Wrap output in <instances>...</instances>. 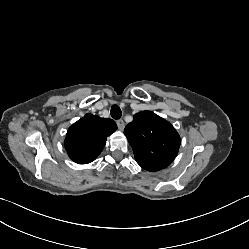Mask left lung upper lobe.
Masks as SVG:
<instances>
[{
    "label": "left lung upper lobe",
    "instance_id": "5c2ea615",
    "mask_svg": "<svg viewBox=\"0 0 249 249\" xmlns=\"http://www.w3.org/2000/svg\"><path fill=\"white\" fill-rule=\"evenodd\" d=\"M124 134L133 148L137 163L148 171L169 166L179 150L180 137L175 128L151 111L135 114Z\"/></svg>",
    "mask_w": 249,
    "mask_h": 249
}]
</instances>
